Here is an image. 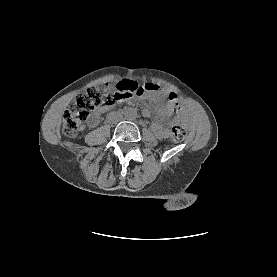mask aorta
<instances>
[{"mask_svg":"<svg viewBox=\"0 0 277 277\" xmlns=\"http://www.w3.org/2000/svg\"><path fill=\"white\" fill-rule=\"evenodd\" d=\"M125 118L129 121H134L137 118V111L133 108H129L125 111Z\"/></svg>","mask_w":277,"mask_h":277,"instance_id":"762f6f07","label":"aorta"}]
</instances>
